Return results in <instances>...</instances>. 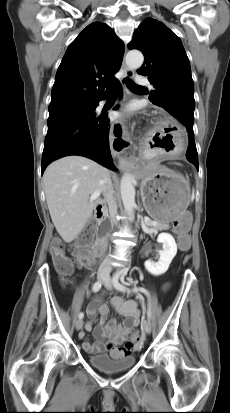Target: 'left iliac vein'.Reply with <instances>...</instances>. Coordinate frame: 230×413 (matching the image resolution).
<instances>
[{
  "label": "left iliac vein",
  "mask_w": 230,
  "mask_h": 413,
  "mask_svg": "<svg viewBox=\"0 0 230 413\" xmlns=\"http://www.w3.org/2000/svg\"><path fill=\"white\" fill-rule=\"evenodd\" d=\"M103 284H104V286H105L107 289H109V290H112V289H113L112 280H111V278H110L109 276L104 279ZM143 329H144V331H145L147 334H150V333H151L152 328H151V323H150V321L145 320V321L143 322Z\"/></svg>",
  "instance_id": "left-iliac-vein-1"
}]
</instances>
